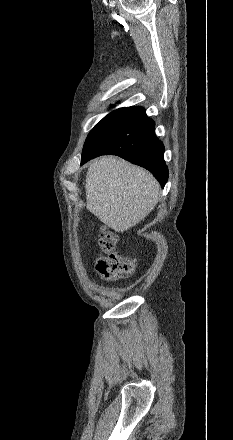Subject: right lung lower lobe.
Wrapping results in <instances>:
<instances>
[{"instance_id":"1","label":"right lung lower lobe","mask_w":233,"mask_h":440,"mask_svg":"<svg viewBox=\"0 0 233 440\" xmlns=\"http://www.w3.org/2000/svg\"><path fill=\"white\" fill-rule=\"evenodd\" d=\"M154 128L142 107L122 108L88 135L81 164L100 155H118L149 170L164 187L168 168Z\"/></svg>"}]
</instances>
